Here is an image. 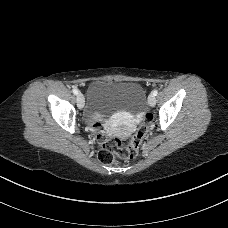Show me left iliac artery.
I'll return each instance as SVG.
<instances>
[{
  "label": "left iliac artery",
  "instance_id": "obj_1",
  "mask_svg": "<svg viewBox=\"0 0 228 228\" xmlns=\"http://www.w3.org/2000/svg\"><path fill=\"white\" fill-rule=\"evenodd\" d=\"M152 93H153L154 96H157L158 90L157 89H154Z\"/></svg>",
  "mask_w": 228,
  "mask_h": 228
}]
</instances>
